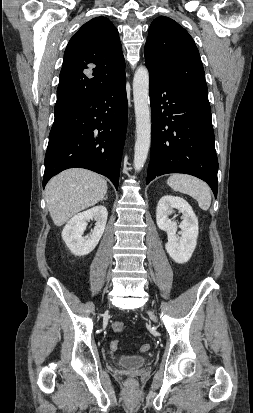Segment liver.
Here are the masks:
<instances>
[{
  "label": "liver",
  "instance_id": "liver-1",
  "mask_svg": "<svg viewBox=\"0 0 253 413\" xmlns=\"http://www.w3.org/2000/svg\"><path fill=\"white\" fill-rule=\"evenodd\" d=\"M107 182L99 174L82 168L68 169L53 177L45 189V200L56 226L103 200Z\"/></svg>",
  "mask_w": 253,
  "mask_h": 413
}]
</instances>
